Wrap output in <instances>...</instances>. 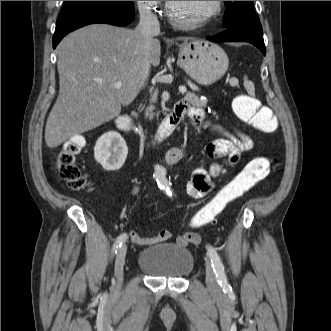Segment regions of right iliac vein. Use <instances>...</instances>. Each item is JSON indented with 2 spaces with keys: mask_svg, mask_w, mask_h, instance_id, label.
Segmentation results:
<instances>
[{
  "mask_svg": "<svg viewBox=\"0 0 331 331\" xmlns=\"http://www.w3.org/2000/svg\"><path fill=\"white\" fill-rule=\"evenodd\" d=\"M126 252H127V246L122 245L118 250L115 260V277L117 280L118 287H120L123 282V271H124Z\"/></svg>",
  "mask_w": 331,
  "mask_h": 331,
  "instance_id": "1",
  "label": "right iliac vein"
}]
</instances>
